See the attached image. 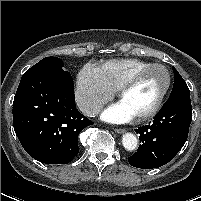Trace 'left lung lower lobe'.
I'll use <instances>...</instances> for the list:
<instances>
[{
	"mask_svg": "<svg viewBox=\"0 0 201 201\" xmlns=\"http://www.w3.org/2000/svg\"><path fill=\"white\" fill-rule=\"evenodd\" d=\"M191 121L190 93L169 97L151 124L135 130L141 144L129 164L153 169L170 162L185 144Z\"/></svg>",
	"mask_w": 201,
	"mask_h": 201,
	"instance_id": "1",
	"label": "left lung lower lobe"
}]
</instances>
